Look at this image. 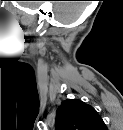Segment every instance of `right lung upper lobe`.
<instances>
[{
  "label": "right lung upper lobe",
  "mask_w": 123,
  "mask_h": 130,
  "mask_svg": "<svg viewBox=\"0 0 123 130\" xmlns=\"http://www.w3.org/2000/svg\"><path fill=\"white\" fill-rule=\"evenodd\" d=\"M56 124L73 130H97L104 126L102 118L92 106L75 99L62 102L57 111Z\"/></svg>",
  "instance_id": "cb5924a9"
}]
</instances>
